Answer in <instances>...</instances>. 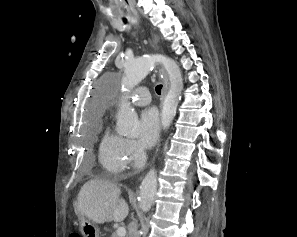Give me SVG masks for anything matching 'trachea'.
Returning <instances> with one entry per match:
<instances>
[{"label": "trachea", "mask_w": 297, "mask_h": 237, "mask_svg": "<svg viewBox=\"0 0 297 237\" xmlns=\"http://www.w3.org/2000/svg\"><path fill=\"white\" fill-rule=\"evenodd\" d=\"M161 89H162V85H161V84L156 86L155 90H156V93H157L158 95L161 94Z\"/></svg>", "instance_id": "1"}]
</instances>
